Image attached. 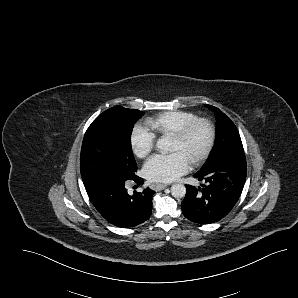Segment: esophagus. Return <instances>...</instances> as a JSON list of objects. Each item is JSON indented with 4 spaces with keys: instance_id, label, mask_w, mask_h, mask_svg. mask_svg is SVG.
I'll use <instances>...</instances> for the list:
<instances>
[{
    "instance_id": "obj_1",
    "label": "esophagus",
    "mask_w": 298,
    "mask_h": 298,
    "mask_svg": "<svg viewBox=\"0 0 298 298\" xmlns=\"http://www.w3.org/2000/svg\"><path fill=\"white\" fill-rule=\"evenodd\" d=\"M166 187H167L166 184H157V185L154 186V189H155V190H163V189H165Z\"/></svg>"
}]
</instances>
